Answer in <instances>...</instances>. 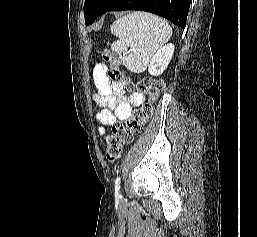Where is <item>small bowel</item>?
Listing matches in <instances>:
<instances>
[{"label":"small bowel","instance_id":"small-bowel-1","mask_svg":"<svg viewBox=\"0 0 257 237\" xmlns=\"http://www.w3.org/2000/svg\"><path fill=\"white\" fill-rule=\"evenodd\" d=\"M93 79L98 89L94 99L102 107L97 114V119L101 123L100 134L104 135L106 127L112 126L118 120L129 118L133 107L139 106L143 102L144 96L139 92L126 96L123 85L110 82L106 66L102 63L95 65Z\"/></svg>","mask_w":257,"mask_h":237}]
</instances>
